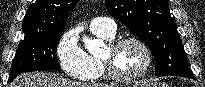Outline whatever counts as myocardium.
<instances>
[{"label": "myocardium", "mask_w": 205, "mask_h": 87, "mask_svg": "<svg viewBox=\"0 0 205 87\" xmlns=\"http://www.w3.org/2000/svg\"><path fill=\"white\" fill-rule=\"evenodd\" d=\"M127 43H135L137 44L144 52L145 54V64L140 72L134 74V75H124L118 72L116 69L113 59L115 53L125 44ZM100 61L102 63V66L105 70V74L108 78H110L113 81L116 82H122V83H132L136 82L143 77L146 76V74L149 72L151 66H152V53L148 45L140 38L134 37V36H128V37H122L118 39H113L110 41L107 45V54L101 56Z\"/></svg>", "instance_id": "myocardium-1"}]
</instances>
